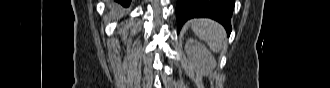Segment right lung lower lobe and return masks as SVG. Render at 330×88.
<instances>
[{"label":"right lung lower lobe","instance_id":"obj_1","mask_svg":"<svg viewBox=\"0 0 330 88\" xmlns=\"http://www.w3.org/2000/svg\"><path fill=\"white\" fill-rule=\"evenodd\" d=\"M115 1L122 4L124 7H128L131 3V0H115Z\"/></svg>","mask_w":330,"mask_h":88}]
</instances>
